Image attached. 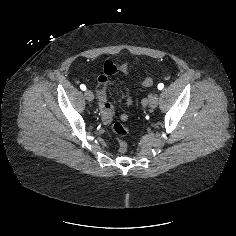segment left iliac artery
I'll return each mask as SVG.
<instances>
[{
  "label": "left iliac artery",
  "instance_id": "1",
  "mask_svg": "<svg viewBox=\"0 0 236 236\" xmlns=\"http://www.w3.org/2000/svg\"><path fill=\"white\" fill-rule=\"evenodd\" d=\"M163 88H164V84H163V83H159V84H158V89H159V90H162Z\"/></svg>",
  "mask_w": 236,
  "mask_h": 236
}]
</instances>
